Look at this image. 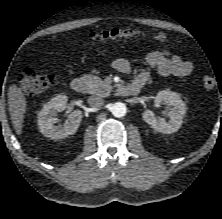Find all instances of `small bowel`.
Instances as JSON below:
<instances>
[{"label": "small bowel", "mask_w": 222, "mask_h": 219, "mask_svg": "<svg viewBox=\"0 0 222 219\" xmlns=\"http://www.w3.org/2000/svg\"><path fill=\"white\" fill-rule=\"evenodd\" d=\"M148 66L156 69L160 76H188L193 72L194 66L192 62L181 58L179 55L172 53L166 48H160L156 51L148 53L145 57ZM112 66L120 73L128 74L131 70L130 63L124 58H115ZM148 79V74L140 73L135 77L133 82L144 84Z\"/></svg>", "instance_id": "1"}]
</instances>
